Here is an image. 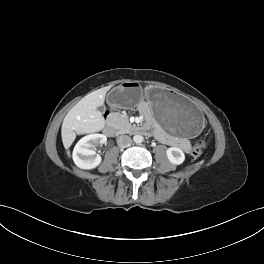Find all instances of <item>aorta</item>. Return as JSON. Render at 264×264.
<instances>
[{"instance_id": "1", "label": "aorta", "mask_w": 264, "mask_h": 264, "mask_svg": "<svg viewBox=\"0 0 264 264\" xmlns=\"http://www.w3.org/2000/svg\"><path fill=\"white\" fill-rule=\"evenodd\" d=\"M133 141H134L135 143H141V142L143 141V136H141V135H135V136L133 137Z\"/></svg>"}]
</instances>
